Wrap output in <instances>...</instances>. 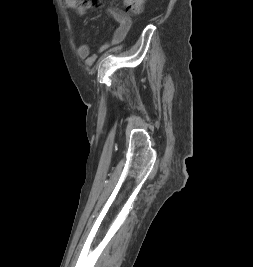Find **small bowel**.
I'll return each instance as SVG.
<instances>
[{
  "label": "small bowel",
  "mask_w": 253,
  "mask_h": 267,
  "mask_svg": "<svg viewBox=\"0 0 253 267\" xmlns=\"http://www.w3.org/2000/svg\"><path fill=\"white\" fill-rule=\"evenodd\" d=\"M110 14L117 21L118 26L110 39L99 48V52L120 44L126 38L132 26V20L130 16L123 13L119 9H110ZM77 54L80 58L85 59L87 63H93L97 58V54H91L89 46L85 43L78 45Z\"/></svg>",
  "instance_id": "1"
}]
</instances>
